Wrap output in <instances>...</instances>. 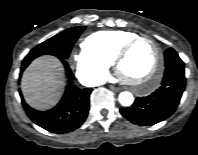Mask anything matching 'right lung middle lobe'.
<instances>
[{
    "instance_id": "1",
    "label": "right lung middle lobe",
    "mask_w": 198,
    "mask_h": 155,
    "mask_svg": "<svg viewBox=\"0 0 198 155\" xmlns=\"http://www.w3.org/2000/svg\"><path fill=\"white\" fill-rule=\"evenodd\" d=\"M84 30V26H78L69 28L57 34L56 36L33 48L23 61H31L36 57L44 54L66 59L69 56L74 43Z\"/></svg>"
}]
</instances>
